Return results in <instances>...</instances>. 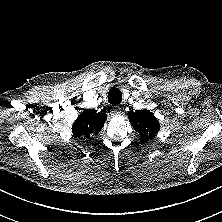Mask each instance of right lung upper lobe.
<instances>
[{"instance_id":"obj_1","label":"right lung upper lobe","mask_w":222,"mask_h":222,"mask_svg":"<svg viewBox=\"0 0 222 222\" xmlns=\"http://www.w3.org/2000/svg\"><path fill=\"white\" fill-rule=\"evenodd\" d=\"M107 119L106 114L95 110L83 111L72 125L74 137H85L98 134Z\"/></svg>"}]
</instances>
